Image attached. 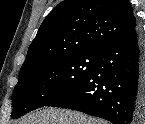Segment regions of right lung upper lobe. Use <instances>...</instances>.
Instances as JSON below:
<instances>
[{
    "label": "right lung upper lobe",
    "mask_w": 145,
    "mask_h": 124,
    "mask_svg": "<svg viewBox=\"0 0 145 124\" xmlns=\"http://www.w3.org/2000/svg\"><path fill=\"white\" fill-rule=\"evenodd\" d=\"M136 27L128 0H65L41 24L19 77L58 57L99 54Z\"/></svg>",
    "instance_id": "cb5924a9"
}]
</instances>
